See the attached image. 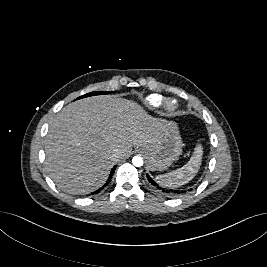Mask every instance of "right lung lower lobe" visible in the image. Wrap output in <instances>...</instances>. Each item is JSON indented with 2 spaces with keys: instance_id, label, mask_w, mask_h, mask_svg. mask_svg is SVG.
Here are the masks:
<instances>
[{
  "instance_id": "obj_1",
  "label": "right lung lower lobe",
  "mask_w": 267,
  "mask_h": 267,
  "mask_svg": "<svg viewBox=\"0 0 267 267\" xmlns=\"http://www.w3.org/2000/svg\"><path fill=\"white\" fill-rule=\"evenodd\" d=\"M115 169H116V166H114V167L112 168L111 173H110V175H109V178H108V180L106 181V183H105V185H104L103 187H105V186L110 182V180H111V178H112V175H113ZM103 187H102V188H103ZM100 190H101V189L95 191L93 194L98 193Z\"/></svg>"
}]
</instances>
